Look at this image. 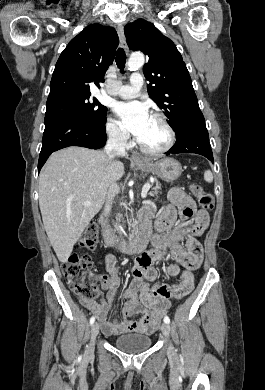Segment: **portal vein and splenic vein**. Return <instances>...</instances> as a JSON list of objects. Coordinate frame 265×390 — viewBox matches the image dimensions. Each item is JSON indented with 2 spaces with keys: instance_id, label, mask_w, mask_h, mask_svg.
Returning a JSON list of instances; mask_svg holds the SVG:
<instances>
[{
  "instance_id": "portal-vein-and-splenic-vein-1",
  "label": "portal vein and splenic vein",
  "mask_w": 265,
  "mask_h": 390,
  "mask_svg": "<svg viewBox=\"0 0 265 390\" xmlns=\"http://www.w3.org/2000/svg\"><path fill=\"white\" fill-rule=\"evenodd\" d=\"M150 187H151V185H150L149 183H146V184L143 186L142 192H141V197H142V198H146L147 193H148ZM91 204H92V203H90V202H86V203H84L83 205H85V206H90Z\"/></svg>"
}]
</instances>
